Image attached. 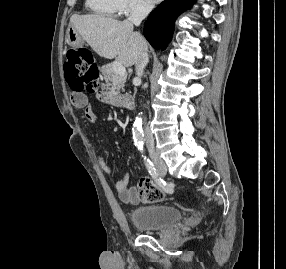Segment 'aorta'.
Wrapping results in <instances>:
<instances>
[{"mask_svg":"<svg viewBox=\"0 0 286 269\" xmlns=\"http://www.w3.org/2000/svg\"><path fill=\"white\" fill-rule=\"evenodd\" d=\"M133 139L135 145L138 147L140 152L144 151V134L142 130V119L137 116L133 125Z\"/></svg>","mask_w":286,"mask_h":269,"instance_id":"762f6f07","label":"aorta"}]
</instances>
